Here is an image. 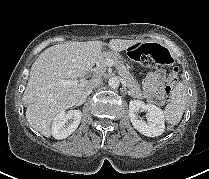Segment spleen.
<instances>
[{"label": "spleen", "mask_w": 209, "mask_h": 179, "mask_svg": "<svg viewBox=\"0 0 209 179\" xmlns=\"http://www.w3.org/2000/svg\"><path fill=\"white\" fill-rule=\"evenodd\" d=\"M187 102V89L184 83L179 82L170 95V103L164 110V117L169 124H178L183 116Z\"/></svg>", "instance_id": "spleen-1"}]
</instances>
